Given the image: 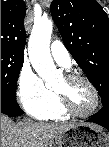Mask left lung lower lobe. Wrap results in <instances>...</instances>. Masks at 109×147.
Here are the masks:
<instances>
[{
	"instance_id": "0a47b994",
	"label": "left lung lower lobe",
	"mask_w": 109,
	"mask_h": 147,
	"mask_svg": "<svg viewBox=\"0 0 109 147\" xmlns=\"http://www.w3.org/2000/svg\"><path fill=\"white\" fill-rule=\"evenodd\" d=\"M86 122H93L101 125L109 131V102L103 105L102 109L94 117L88 119Z\"/></svg>"
}]
</instances>
